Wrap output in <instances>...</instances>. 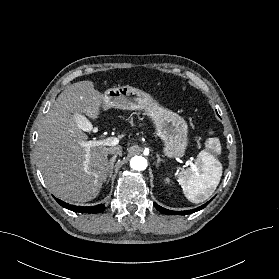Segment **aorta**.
<instances>
[{"label": "aorta", "mask_w": 279, "mask_h": 279, "mask_svg": "<svg viewBox=\"0 0 279 279\" xmlns=\"http://www.w3.org/2000/svg\"><path fill=\"white\" fill-rule=\"evenodd\" d=\"M130 167L133 170L143 171L147 167V160L142 156H134L130 160Z\"/></svg>", "instance_id": "1"}]
</instances>
